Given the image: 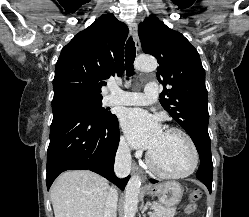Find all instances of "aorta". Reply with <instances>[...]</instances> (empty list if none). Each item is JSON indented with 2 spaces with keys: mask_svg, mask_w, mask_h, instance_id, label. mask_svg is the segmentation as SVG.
Here are the masks:
<instances>
[{
  "mask_svg": "<svg viewBox=\"0 0 249 217\" xmlns=\"http://www.w3.org/2000/svg\"><path fill=\"white\" fill-rule=\"evenodd\" d=\"M135 68L140 71L151 72L158 67L154 57L141 55L136 58ZM141 179L138 175L130 178L125 189L124 217H135L138 208Z\"/></svg>",
  "mask_w": 249,
  "mask_h": 217,
  "instance_id": "aorta-1",
  "label": "aorta"
}]
</instances>
